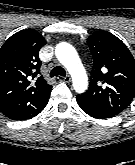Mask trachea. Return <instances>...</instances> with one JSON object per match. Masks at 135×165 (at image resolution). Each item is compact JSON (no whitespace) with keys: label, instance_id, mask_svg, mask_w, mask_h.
<instances>
[{"label":"trachea","instance_id":"trachea-1","mask_svg":"<svg viewBox=\"0 0 135 165\" xmlns=\"http://www.w3.org/2000/svg\"><path fill=\"white\" fill-rule=\"evenodd\" d=\"M58 75L66 76V71L61 66L54 67L50 72V77H54Z\"/></svg>","mask_w":135,"mask_h":165}]
</instances>
